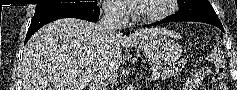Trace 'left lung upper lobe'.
<instances>
[{"mask_svg":"<svg viewBox=\"0 0 237 90\" xmlns=\"http://www.w3.org/2000/svg\"><path fill=\"white\" fill-rule=\"evenodd\" d=\"M180 10L178 15L197 19L220 22L213 7L207 0H178Z\"/></svg>","mask_w":237,"mask_h":90,"instance_id":"5c2ea615","label":"left lung upper lobe"}]
</instances>
